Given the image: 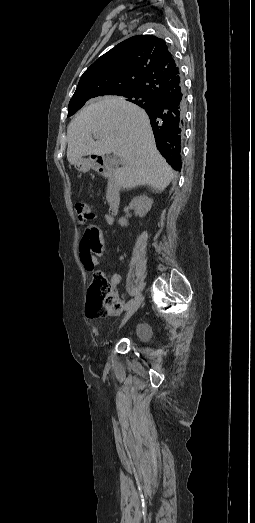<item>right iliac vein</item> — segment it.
Returning <instances> with one entry per match:
<instances>
[{"label":"right iliac vein","instance_id":"1","mask_svg":"<svg viewBox=\"0 0 255 523\" xmlns=\"http://www.w3.org/2000/svg\"><path fill=\"white\" fill-rule=\"evenodd\" d=\"M143 296L138 295L132 302L130 308L127 310L126 315L124 316L120 327H122L130 318L131 316L136 312V310L139 308L140 304L142 303Z\"/></svg>","mask_w":255,"mask_h":523}]
</instances>
